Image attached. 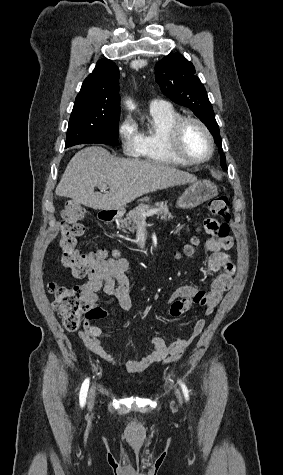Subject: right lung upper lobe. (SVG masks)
<instances>
[{
  "label": "right lung upper lobe",
  "mask_w": 283,
  "mask_h": 475,
  "mask_svg": "<svg viewBox=\"0 0 283 475\" xmlns=\"http://www.w3.org/2000/svg\"><path fill=\"white\" fill-rule=\"evenodd\" d=\"M119 70L110 59H100L84 80L76 103L119 105Z\"/></svg>",
  "instance_id": "1"
}]
</instances>
